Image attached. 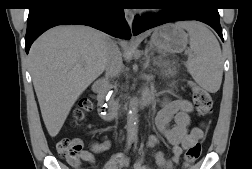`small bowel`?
Instances as JSON below:
<instances>
[{
	"label": "small bowel",
	"mask_w": 252,
	"mask_h": 169,
	"mask_svg": "<svg viewBox=\"0 0 252 169\" xmlns=\"http://www.w3.org/2000/svg\"><path fill=\"white\" fill-rule=\"evenodd\" d=\"M150 96V93L146 92L145 95ZM193 108L189 101L184 99L165 100L162 107L156 117L155 123L162 135L173 145V157L167 159L165 155L159 152L156 155L157 162L163 166H170L176 162L182 152L189 146L199 142L203 137V131L200 127L189 128L190 126V114ZM174 120L175 124L172 128H169V123ZM158 143V137L152 135L146 147L152 148ZM110 147V141L104 139L100 142H93L91 144V151L81 150L79 156L80 159L94 163L93 153H100L107 150ZM130 164V159L124 154L118 153L113 155L110 160L104 165L103 169H121ZM134 169H152L144 163L143 154L134 163Z\"/></svg>",
	"instance_id": "c3829d8e"
}]
</instances>
